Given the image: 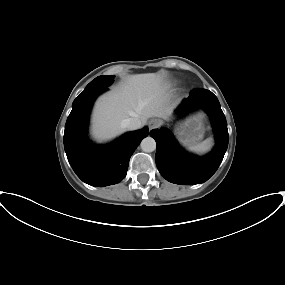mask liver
<instances>
[{"instance_id":"obj_1","label":"liver","mask_w":285,"mask_h":285,"mask_svg":"<svg viewBox=\"0 0 285 285\" xmlns=\"http://www.w3.org/2000/svg\"><path fill=\"white\" fill-rule=\"evenodd\" d=\"M168 85L156 73L127 77L111 92L95 103L92 135L99 141L114 138L125 131L122 121L138 118L144 125L150 117L168 119L173 112L169 105Z\"/></svg>"}]
</instances>
